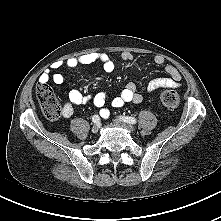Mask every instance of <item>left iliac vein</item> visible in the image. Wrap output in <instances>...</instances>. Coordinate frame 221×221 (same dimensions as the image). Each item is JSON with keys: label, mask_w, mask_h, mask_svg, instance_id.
I'll use <instances>...</instances> for the list:
<instances>
[{"label": "left iliac vein", "mask_w": 221, "mask_h": 221, "mask_svg": "<svg viewBox=\"0 0 221 221\" xmlns=\"http://www.w3.org/2000/svg\"><path fill=\"white\" fill-rule=\"evenodd\" d=\"M114 123H115L116 125H118V126H121V127L125 128V129L131 131V132H134V131H135V128H134L133 126H131V125H129V124H126V123L123 122V121L115 120Z\"/></svg>", "instance_id": "left-iliac-vein-1"}]
</instances>
